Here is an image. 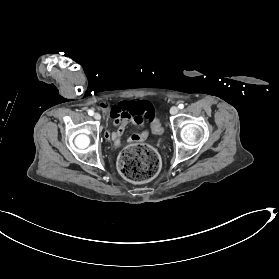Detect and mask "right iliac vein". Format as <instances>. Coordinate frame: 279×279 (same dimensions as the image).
<instances>
[{"instance_id":"63e3f726","label":"right iliac vein","mask_w":279,"mask_h":279,"mask_svg":"<svg viewBox=\"0 0 279 279\" xmlns=\"http://www.w3.org/2000/svg\"><path fill=\"white\" fill-rule=\"evenodd\" d=\"M94 118H95L96 120H100V119H101V116H100L99 113H95V114H94Z\"/></svg>"}]
</instances>
